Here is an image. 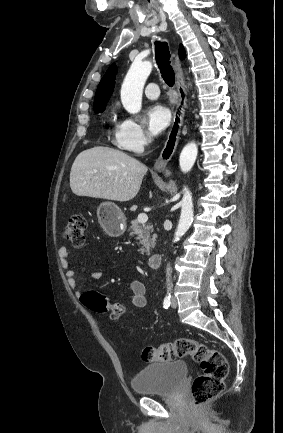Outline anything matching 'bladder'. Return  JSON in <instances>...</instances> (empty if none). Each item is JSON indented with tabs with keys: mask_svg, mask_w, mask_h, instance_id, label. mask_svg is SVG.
Returning <instances> with one entry per match:
<instances>
[{
	"mask_svg": "<svg viewBox=\"0 0 283 433\" xmlns=\"http://www.w3.org/2000/svg\"><path fill=\"white\" fill-rule=\"evenodd\" d=\"M186 372V363L183 361L155 363L135 374L131 387L135 393L175 392Z\"/></svg>",
	"mask_w": 283,
	"mask_h": 433,
	"instance_id": "obj_1",
	"label": "bladder"
}]
</instances>
